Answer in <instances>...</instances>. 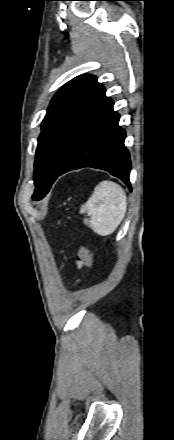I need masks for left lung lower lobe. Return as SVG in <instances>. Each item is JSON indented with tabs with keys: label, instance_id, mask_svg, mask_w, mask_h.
Here are the masks:
<instances>
[{
	"label": "left lung lower lobe",
	"instance_id": "0a47b994",
	"mask_svg": "<svg viewBox=\"0 0 174 440\" xmlns=\"http://www.w3.org/2000/svg\"><path fill=\"white\" fill-rule=\"evenodd\" d=\"M113 105L112 99L106 97L90 116L57 177L71 170L92 167L108 171L131 189L125 131L118 126L120 116Z\"/></svg>",
	"mask_w": 174,
	"mask_h": 440
}]
</instances>
